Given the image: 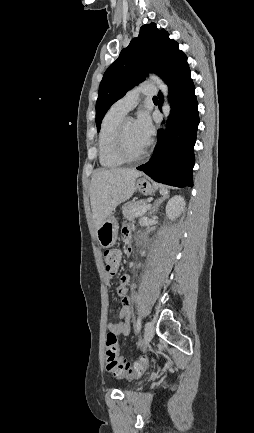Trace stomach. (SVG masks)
<instances>
[{"mask_svg":"<svg viewBox=\"0 0 254 433\" xmlns=\"http://www.w3.org/2000/svg\"><path fill=\"white\" fill-rule=\"evenodd\" d=\"M135 188L144 195H151L154 192V185L145 178H139ZM96 235L103 248L112 247L118 235V223L116 218L113 215H109L96 229Z\"/></svg>","mask_w":254,"mask_h":433,"instance_id":"1","label":"stomach"}]
</instances>
